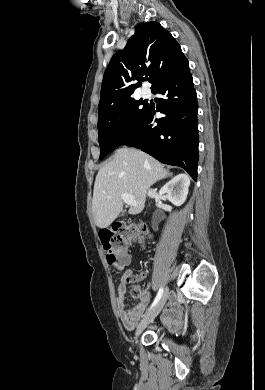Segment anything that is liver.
Masks as SVG:
<instances>
[{"instance_id":"obj_1","label":"liver","mask_w":265,"mask_h":390,"mask_svg":"<svg viewBox=\"0 0 265 390\" xmlns=\"http://www.w3.org/2000/svg\"><path fill=\"white\" fill-rule=\"evenodd\" d=\"M170 173L155 158L134 148H119L113 159L100 168L96 176L92 212L97 227H108L123 209L122 194L132 195L136 206L129 214L143 211L146 194L155 182Z\"/></svg>"}]
</instances>
